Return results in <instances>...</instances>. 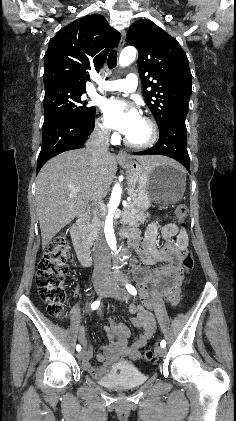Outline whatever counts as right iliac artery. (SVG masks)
<instances>
[{
	"mask_svg": "<svg viewBox=\"0 0 236 421\" xmlns=\"http://www.w3.org/2000/svg\"><path fill=\"white\" fill-rule=\"evenodd\" d=\"M99 305H100V301L99 300L93 302L92 305H91L92 310H96L99 307ZM76 350L78 352L81 351V346L79 344L76 346Z\"/></svg>",
	"mask_w": 236,
	"mask_h": 421,
	"instance_id": "82829eb1",
	"label": "right iliac artery"
}]
</instances>
